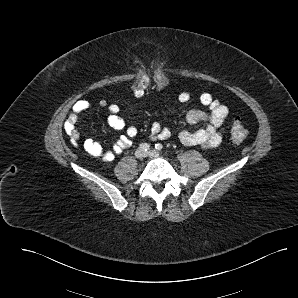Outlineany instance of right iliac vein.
<instances>
[{"label":"right iliac vein","mask_w":298,"mask_h":298,"mask_svg":"<svg viewBox=\"0 0 298 298\" xmlns=\"http://www.w3.org/2000/svg\"><path fill=\"white\" fill-rule=\"evenodd\" d=\"M135 156L139 159L145 157V152L144 150H142L141 148L140 149H137L136 152H135Z\"/></svg>","instance_id":"right-iliac-vein-1"}]
</instances>
